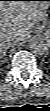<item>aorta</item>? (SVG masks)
Here are the masks:
<instances>
[{
  "instance_id": "1",
  "label": "aorta",
  "mask_w": 50,
  "mask_h": 111,
  "mask_svg": "<svg viewBox=\"0 0 50 111\" xmlns=\"http://www.w3.org/2000/svg\"><path fill=\"white\" fill-rule=\"evenodd\" d=\"M30 49L33 53L43 54L46 51L47 46L43 41L35 38L30 43Z\"/></svg>"
}]
</instances>
